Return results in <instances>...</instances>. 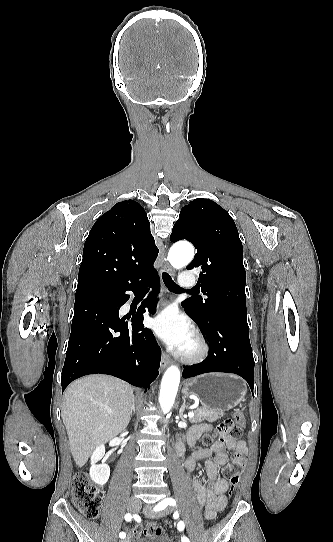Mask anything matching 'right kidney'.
Masks as SVG:
<instances>
[{"mask_svg": "<svg viewBox=\"0 0 333 542\" xmlns=\"http://www.w3.org/2000/svg\"><path fill=\"white\" fill-rule=\"evenodd\" d=\"M103 456H105V446L101 444V446H98V448L94 450L90 460V478L95 484H99V486H104V484L108 482L110 476V468L107 464H98L97 466V462L102 460Z\"/></svg>", "mask_w": 333, "mask_h": 542, "instance_id": "obj_1", "label": "right kidney"}]
</instances>
